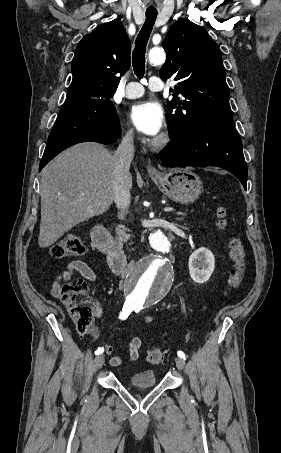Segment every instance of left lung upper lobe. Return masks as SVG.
I'll return each mask as SVG.
<instances>
[{
  "label": "left lung upper lobe",
  "mask_w": 281,
  "mask_h": 453,
  "mask_svg": "<svg viewBox=\"0 0 281 453\" xmlns=\"http://www.w3.org/2000/svg\"><path fill=\"white\" fill-rule=\"evenodd\" d=\"M162 46L167 59L160 77L178 81L175 98L168 102L171 139L209 124L232 121L221 51L207 31L179 19L170 27ZM178 95L185 100H179Z\"/></svg>",
  "instance_id": "5c2ea615"
}]
</instances>
